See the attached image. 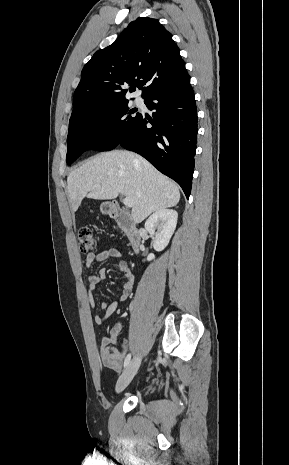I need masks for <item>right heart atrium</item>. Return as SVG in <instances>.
Listing matches in <instances>:
<instances>
[{
	"label": "right heart atrium",
	"instance_id": "d8ad5b80",
	"mask_svg": "<svg viewBox=\"0 0 289 465\" xmlns=\"http://www.w3.org/2000/svg\"><path fill=\"white\" fill-rule=\"evenodd\" d=\"M112 122H113L112 114L105 112L103 114V127L105 129H108L112 125Z\"/></svg>",
	"mask_w": 289,
	"mask_h": 465
}]
</instances>
